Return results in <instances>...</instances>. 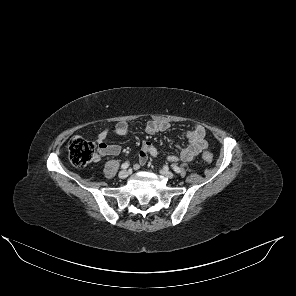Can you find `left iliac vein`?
<instances>
[{"label":"left iliac vein","instance_id":"obj_1","mask_svg":"<svg viewBox=\"0 0 296 296\" xmlns=\"http://www.w3.org/2000/svg\"><path fill=\"white\" fill-rule=\"evenodd\" d=\"M160 173H161L163 176H165V177H167V178H169V179H172V178L174 177V174H173L171 171H169L168 169H166V168L161 169V170H160Z\"/></svg>","mask_w":296,"mask_h":296}]
</instances>
